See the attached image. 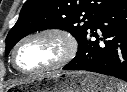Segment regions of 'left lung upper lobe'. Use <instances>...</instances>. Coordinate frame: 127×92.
Masks as SVG:
<instances>
[{
	"instance_id": "left-lung-upper-lobe-1",
	"label": "left lung upper lobe",
	"mask_w": 127,
	"mask_h": 92,
	"mask_svg": "<svg viewBox=\"0 0 127 92\" xmlns=\"http://www.w3.org/2000/svg\"><path fill=\"white\" fill-rule=\"evenodd\" d=\"M121 0H27L6 38V55L26 35L49 28L70 32L80 42L97 20Z\"/></svg>"
}]
</instances>
